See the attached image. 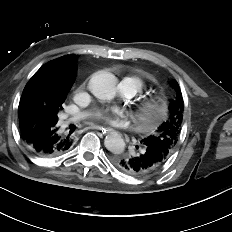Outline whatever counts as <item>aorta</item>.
Returning a JSON list of instances; mask_svg holds the SVG:
<instances>
[{"instance_id": "obj_1", "label": "aorta", "mask_w": 232, "mask_h": 232, "mask_svg": "<svg viewBox=\"0 0 232 232\" xmlns=\"http://www.w3.org/2000/svg\"><path fill=\"white\" fill-rule=\"evenodd\" d=\"M116 77L109 72L101 71L95 73L89 82L91 92L99 99L111 100L116 94ZM104 145L112 153L119 154L125 148V141L118 133L106 136Z\"/></svg>"}]
</instances>
